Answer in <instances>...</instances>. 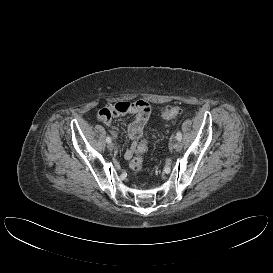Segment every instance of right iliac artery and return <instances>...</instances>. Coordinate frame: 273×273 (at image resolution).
Returning a JSON list of instances; mask_svg holds the SVG:
<instances>
[{"mask_svg": "<svg viewBox=\"0 0 273 273\" xmlns=\"http://www.w3.org/2000/svg\"><path fill=\"white\" fill-rule=\"evenodd\" d=\"M106 142H107V143H110V142H111V138H110L109 136L106 138Z\"/></svg>", "mask_w": 273, "mask_h": 273, "instance_id": "82829eb1", "label": "right iliac artery"}]
</instances>
